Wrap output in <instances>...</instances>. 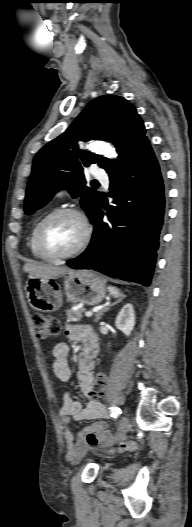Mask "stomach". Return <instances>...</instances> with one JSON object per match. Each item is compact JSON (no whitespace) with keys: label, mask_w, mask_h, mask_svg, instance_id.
<instances>
[{"label":"stomach","mask_w":192,"mask_h":527,"mask_svg":"<svg viewBox=\"0 0 192 527\" xmlns=\"http://www.w3.org/2000/svg\"><path fill=\"white\" fill-rule=\"evenodd\" d=\"M64 293L68 301L96 305L106 294L104 279L94 271L69 272L64 278ZM26 292L31 307L41 312L58 310L63 303V292L50 279L31 277L26 283Z\"/></svg>","instance_id":"obj_1"}]
</instances>
